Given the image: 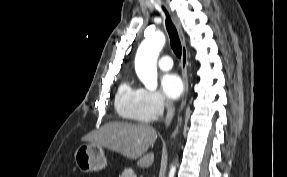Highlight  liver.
Instances as JSON below:
<instances>
[{
	"label": "liver",
	"mask_w": 287,
	"mask_h": 177,
	"mask_svg": "<svg viewBox=\"0 0 287 177\" xmlns=\"http://www.w3.org/2000/svg\"><path fill=\"white\" fill-rule=\"evenodd\" d=\"M157 140L156 130L148 124L128 122H108L82 138V141L105 147L121 155L136 160L142 168L154 162V153H146Z\"/></svg>",
	"instance_id": "6515ba94"
}]
</instances>
